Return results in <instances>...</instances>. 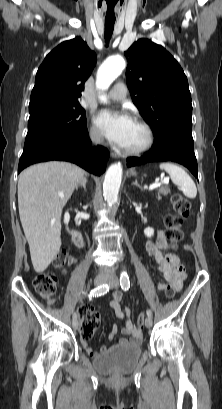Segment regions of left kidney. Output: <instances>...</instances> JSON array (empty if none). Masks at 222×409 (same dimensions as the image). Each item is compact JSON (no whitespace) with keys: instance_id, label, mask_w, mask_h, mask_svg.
Returning a JSON list of instances; mask_svg holds the SVG:
<instances>
[{"instance_id":"5707ae66","label":"left kidney","mask_w":222,"mask_h":409,"mask_svg":"<svg viewBox=\"0 0 222 409\" xmlns=\"http://www.w3.org/2000/svg\"><path fill=\"white\" fill-rule=\"evenodd\" d=\"M144 234L147 237H152L154 235V229L151 227H148L144 230Z\"/></svg>"}]
</instances>
